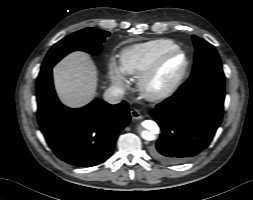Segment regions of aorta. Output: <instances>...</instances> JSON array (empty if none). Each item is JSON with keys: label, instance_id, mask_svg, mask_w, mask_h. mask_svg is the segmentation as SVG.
Instances as JSON below:
<instances>
[{"label": "aorta", "instance_id": "aorta-1", "mask_svg": "<svg viewBox=\"0 0 253 200\" xmlns=\"http://www.w3.org/2000/svg\"><path fill=\"white\" fill-rule=\"evenodd\" d=\"M142 125L147 129L141 132L142 138L148 141L154 140V134L159 131L158 125L152 120H146Z\"/></svg>", "mask_w": 253, "mask_h": 200}]
</instances>
